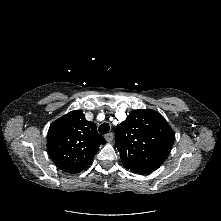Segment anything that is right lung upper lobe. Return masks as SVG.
Here are the masks:
<instances>
[{
	"mask_svg": "<svg viewBox=\"0 0 221 221\" xmlns=\"http://www.w3.org/2000/svg\"><path fill=\"white\" fill-rule=\"evenodd\" d=\"M106 140L95 123L74 110L54 121L47 135V150L55 165L64 172L79 173L89 165Z\"/></svg>",
	"mask_w": 221,
	"mask_h": 221,
	"instance_id": "1",
	"label": "right lung upper lobe"
}]
</instances>
